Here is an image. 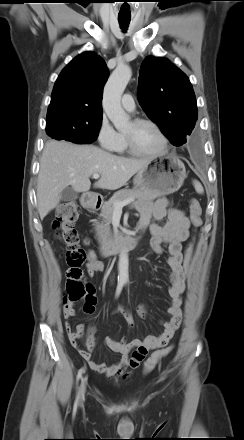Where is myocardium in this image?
Returning <instances> with one entry per match:
<instances>
[{
  "instance_id": "myocardium-1",
  "label": "myocardium",
  "mask_w": 244,
  "mask_h": 440,
  "mask_svg": "<svg viewBox=\"0 0 244 440\" xmlns=\"http://www.w3.org/2000/svg\"><path fill=\"white\" fill-rule=\"evenodd\" d=\"M132 123L134 125H150L152 127H154L157 132L159 133V135L162 138L163 141V145L160 151L155 152V153H148L145 151H142L136 144V142L134 141V139L128 135L124 133V138L125 141L127 143V146L129 148V150L131 151V153L139 155V156H147V157H153V156H160L165 154L170 147V141L169 138L167 136V134L165 133L164 129L154 120L148 119V118H136L132 121Z\"/></svg>"
}]
</instances>
